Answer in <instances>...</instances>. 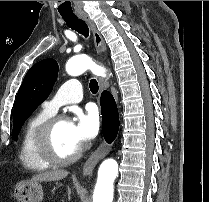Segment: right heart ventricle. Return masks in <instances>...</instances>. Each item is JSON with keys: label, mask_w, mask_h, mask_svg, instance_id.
I'll return each mask as SVG.
<instances>
[{"label": "right heart ventricle", "mask_w": 209, "mask_h": 202, "mask_svg": "<svg viewBox=\"0 0 209 202\" xmlns=\"http://www.w3.org/2000/svg\"><path fill=\"white\" fill-rule=\"evenodd\" d=\"M52 114L43 110L33 115L25 124L19 146V159L23 166L33 171H42L50 167L35 150V139L41 125Z\"/></svg>", "instance_id": "e07e8e85"}]
</instances>
